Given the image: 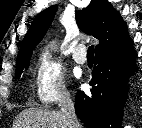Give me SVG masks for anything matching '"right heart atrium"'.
<instances>
[{
  "label": "right heart atrium",
  "mask_w": 142,
  "mask_h": 128,
  "mask_svg": "<svg viewBox=\"0 0 142 128\" xmlns=\"http://www.w3.org/2000/svg\"><path fill=\"white\" fill-rule=\"evenodd\" d=\"M34 87L37 99L43 104H51L69 96L61 67L47 54H42L36 61Z\"/></svg>",
  "instance_id": "d8ad5b80"
}]
</instances>
